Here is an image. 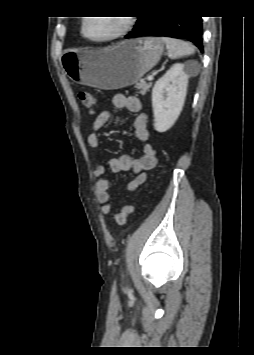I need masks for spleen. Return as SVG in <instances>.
<instances>
[{
  "label": "spleen",
  "mask_w": 254,
  "mask_h": 355,
  "mask_svg": "<svg viewBox=\"0 0 254 355\" xmlns=\"http://www.w3.org/2000/svg\"><path fill=\"white\" fill-rule=\"evenodd\" d=\"M161 40L166 43L168 57L170 59H178L195 53V47L185 41L169 37H162Z\"/></svg>",
  "instance_id": "spleen-1"
}]
</instances>
